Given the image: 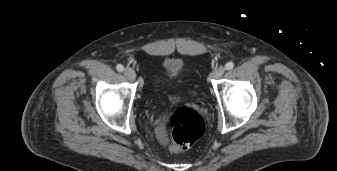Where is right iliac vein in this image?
Masks as SVG:
<instances>
[{
  "mask_svg": "<svg viewBox=\"0 0 337 171\" xmlns=\"http://www.w3.org/2000/svg\"><path fill=\"white\" fill-rule=\"evenodd\" d=\"M124 75L126 76L127 79L130 81H134L136 79V73L133 69L131 68H126L124 70Z\"/></svg>",
  "mask_w": 337,
  "mask_h": 171,
  "instance_id": "63e3f726",
  "label": "right iliac vein"
}]
</instances>
